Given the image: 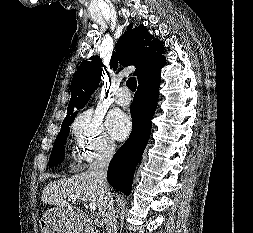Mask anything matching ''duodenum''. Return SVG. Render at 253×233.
<instances>
[{"label":"duodenum","instance_id":"obj_1","mask_svg":"<svg viewBox=\"0 0 253 233\" xmlns=\"http://www.w3.org/2000/svg\"><path fill=\"white\" fill-rule=\"evenodd\" d=\"M95 220L99 221V219H98V218H95V219H94V221H95Z\"/></svg>","mask_w":253,"mask_h":233}]
</instances>
